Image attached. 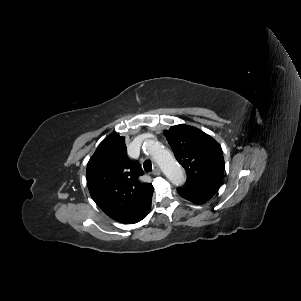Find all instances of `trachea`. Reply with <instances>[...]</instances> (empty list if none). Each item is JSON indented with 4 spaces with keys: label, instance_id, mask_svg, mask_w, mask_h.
Returning <instances> with one entry per match:
<instances>
[{
    "label": "trachea",
    "instance_id": "3493384b",
    "mask_svg": "<svg viewBox=\"0 0 301 301\" xmlns=\"http://www.w3.org/2000/svg\"><path fill=\"white\" fill-rule=\"evenodd\" d=\"M143 167H144L145 172L152 171V164L149 160L144 161Z\"/></svg>",
    "mask_w": 301,
    "mask_h": 301
}]
</instances>
